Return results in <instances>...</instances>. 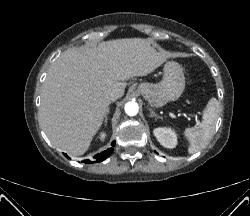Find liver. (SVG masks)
Here are the masks:
<instances>
[{
  "label": "liver",
  "mask_w": 250,
  "mask_h": 216,
  "mask_svg": "<svg viewBox=\"0 0 250 216\" xmlns=\"http://www.w3.org/2000/svg\"><path fill=\"white\" fill-rule=\"evenodd\" d=\"M167 59L142 38L104 41L70 48L51 65L43 84L40 124L51 143L70 155H83L102 125L110 101L105 94L146 76Z\"/></svg>",
  "instance_id": "obj_1"
}]
</instances>
